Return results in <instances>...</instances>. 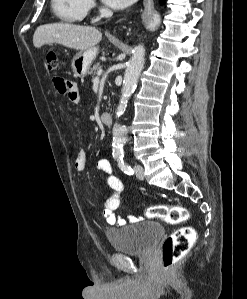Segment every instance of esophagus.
Listing matches in <instances>:
<instances>
[{
  "mask_svg": "<svg viewBox=\"0 0 247 299\" xmlns=\"http://www.w3.org/2000/svg\"><path fill=\"white\" fill-rule=\"evenodd\" d=\"M144 5L148 9H153L154 8L153 0H144Z\"/></svg>",
  "mask_w": 247,
  "mask_h": 299,
  "instance_id": "esophagus-1",
  "label": "esophagus"
}]
</instances>
